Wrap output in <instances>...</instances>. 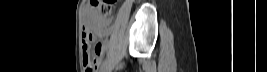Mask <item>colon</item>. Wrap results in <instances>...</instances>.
I'll return each mask as SVG.
<instances>
[{
	"mask_svg": "<svg viewBox=\"0 0 267 72\" xmlns=\"http://www.w3.org/2000/svg\"><path fill=\"white\" fill-rule=\"evenodd\" d=\"M116 2V0H92V5L94 8L97 9V11L102 15L103 18L107 19L111 16L112 10H113V4ZM99 45L95 46V52L94 54H91L90 52V42L86 47L83 49V66L84 70H89L90 72L94 71V68L97 65V51H98Z\"/></svg>",
	"mask_w": 267,
	"mask_h": 72,
	"instance_id": "obj_1",
	"label": "colon"
}]
</instances>
